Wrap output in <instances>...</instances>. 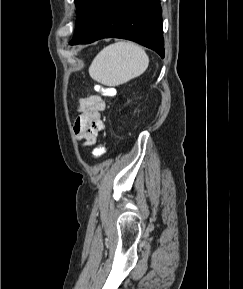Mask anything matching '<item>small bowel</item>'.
I'll return each instance as SVG.
<instances>
[{
  "mask_svg": "<svg viewBox=\"0 0 243 289\" xmlns=\"http://www.w3.org/2000/svg\"><path fill=\"white\" fill-rule=\"evenodd\" d=\"M105 107L106 103L99 95H90L80 100L73 130L77 140L83 146L94 145L99 133L105 129L101 118Z\"/></svg>",
  "mask_w": 243,
  "mask_h": 289,
  "instance_id": "small-bowel-1",
  "label": "small bowel"
}]
</instances>
